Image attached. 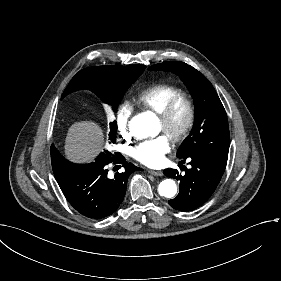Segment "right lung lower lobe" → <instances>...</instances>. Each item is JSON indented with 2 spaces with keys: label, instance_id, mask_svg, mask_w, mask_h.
<instances>
[{
  "label": "right lung lower lobe",
  "instance_id": "1",
  "mask_svg": "<svg viewBox=\"0 0 281 281\" xmlns=\"http://www.w3.org/2000/svg\"><path fill=\"white\" fill-rule=\"evenodd\" d=\"M122 164L124 170L108 175V165ZM121 167V166H120ZM141 170L126 162L121 154L101 153L95 162L76 171H54L68 202L80 214L100 219L114 213L124 199L126 184L132 172Z\"/></svg>",
  "mask_w": 281,
  "mask_h": 281
}]
</instances>
